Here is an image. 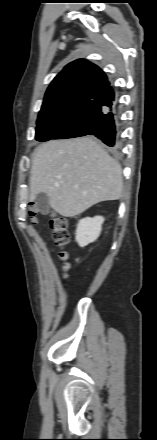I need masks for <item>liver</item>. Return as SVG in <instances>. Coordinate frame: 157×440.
<instances>
[{
    "mask_svg": "<svg viewBox=\"0 0 157 440\" xmlns=\"http://www.w3.org/2000/svg\"><path fill=\"white\" fill-rule=\"evenodd\" d=\"M122 192L120 164L92 138L53 140L36 151L30 200L45 193L62 216L74 217L99 202L118 200Z\"/></svg>",
    "mask_w": 157,
    "mask_h": 440,
    "instance_id": "1",
    "label": "liver"
}]
</instances>
